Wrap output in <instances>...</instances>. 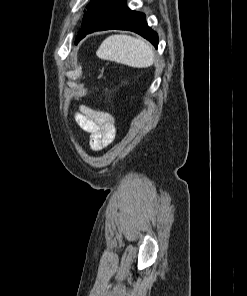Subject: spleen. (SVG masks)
I'll use <instances>...</instances> for the list:
<instances>
[{"instance_id":"obj_1","label":"spleen","mask_w":247,"mask_h":296,"mask_svg":"<svg viewBox=\"0 0 247 296\" xmlns=\"http://www.w3.org/2000/svg\"><path fill=\"white\" fill-rule=\"evenodd\" d=\"M97 55L134 68H146L155 61L152 46L143 39L129 35H111L100 45Z\"/></svg>"}]
</instances>
